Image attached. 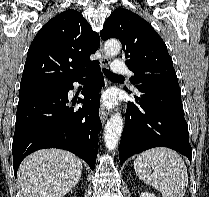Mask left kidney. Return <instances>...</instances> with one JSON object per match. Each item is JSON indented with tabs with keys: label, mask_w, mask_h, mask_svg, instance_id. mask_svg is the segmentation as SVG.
Here are the masks:
<instances>
[{
	"label": "left kidney",
	"mask_w": 209,
	"mask_h": 197,
	"mask_svg": "<svg viewBox=\"0 0 209 197\" xmlns=\"http://www.w3.org/2000/svg\"><path fill=\"white\" fill-rule=\"evenodd\" d=\"M140 197H156V196L149 192H142Z\"/></svg>",
	"instance_id": "5707ae66"
}]
</instances>
